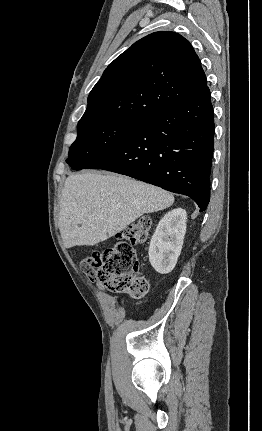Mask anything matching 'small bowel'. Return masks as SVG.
Wrapping results in <instances>:
<instances>
[{
	"label": "small bowel",
	"mask_w": 262,
	"mask_h": 431,
	"mask_svg": "<svg viewBox=\"0 0 262 431\" xmlns=\"http://www.w3.org/2000/svg\"><path fill=\"white\" fill-rule=\"evenodd\" d=\"M97 286L101 291L106 292L100 285H97Z\"/></svg>",
	"instance_id": "obj_1"
}]
</instances>
